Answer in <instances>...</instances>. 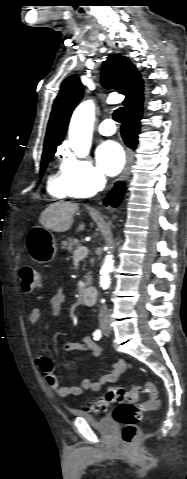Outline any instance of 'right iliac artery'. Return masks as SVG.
Masks as SVG:
<instances>
[{
	"mask_svg": "<svg viewBox=\"0 0 187 479\" xmlns=\"http://www.w3.org/2000/svg\"><path fill=\"white\" fill-rule=\"evenodd\" d=\"M101 337H102V332H101L100 329H97V330L93 333V338H94V340H99Z\"/></svg>",
	"mask_w": 187,
	"mask_h": 479,
	"instance_id": "right-iliac-artery-1",
	"label": "right iliac artery"
}]
</instances>
